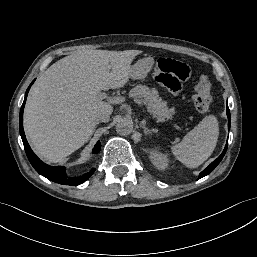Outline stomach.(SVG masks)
Here are the masks:
<instances>
[{"label":"stomach","mask_w":257,"mask_h":257,"mask_svg":"<svg viewBox=\"0 0 257 257\" xmlns=\"http://www.w3.org/2000/svg\"><path fill=\"white\" fill-rule=\"evenodd\" d=\"M153 65V57L149 56L138 60L134 65L131 66L130 78L134 80L144 79L151 71Z\"/></svg>","instance_id":"stomach-1"}]
</instances>
